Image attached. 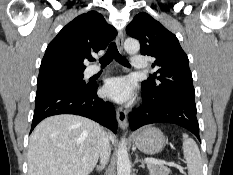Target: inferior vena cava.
Listing matches in <instances>:
<instances>
[{
    "instance_id": "inferior-vena-cava-1",
    "label": "inferior vena cava",
    "mask_w": 233,
    "mask_h": 175,
    "mask_svg": "<svg viewBox=\"0 0 233 175\" xmlns=\"http://www.w3.org/2000/svg\"><path fill=\"white\" fill-rule=\"evenodd\" d=\"M110 142L109 138L106 132L102 130L101 136H100V143H99V155H100V160H101V165L103 168L107 164L110 156Z\"/></svg>"
}]
</instances>
